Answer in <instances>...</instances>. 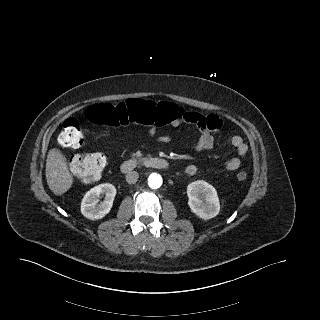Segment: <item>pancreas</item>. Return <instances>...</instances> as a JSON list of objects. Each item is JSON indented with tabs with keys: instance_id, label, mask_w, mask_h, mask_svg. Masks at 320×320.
Returning <instances> with one entry per match:
<instances>
[{
	"instance_id": "cf45deb5",
	"label": "pancreas",
	"mask_w": 320,
	"mask_h": 320,
	"mask_svg": "<svg viewBox=\"0 0 320 320\" xmlns=\"http://www.w3.org/2000/svg\"><path fill=\"white\" fill-rule=\"evenodd\" d=\"M133 158H140L141 154L139 152L132 154Z\"/></svg>"
}]
</instances>
